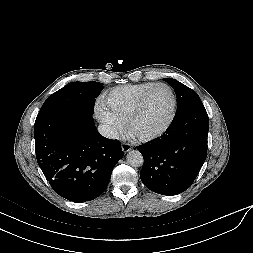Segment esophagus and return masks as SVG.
Here are the masks:
<instances>
[{"label": "esophagus", "instance_id": "34e87169", "mask_svg": "<svg viewBox=\"0 0 253 253\" xmlns=\"http://www.w3.org/2000/svg\"><path fill=\"white\" fill-rule=\"evenodd\" d=\"M131 150V145L130 144H128V143H123L122 144V151L124 152V153H127L128 151H130Z\"/></svg>", "mask_w": 253, "mask_h": 253}]
</instances>
